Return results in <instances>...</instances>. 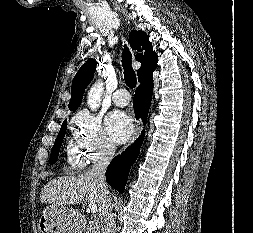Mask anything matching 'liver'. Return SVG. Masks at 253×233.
<instances>
[{"label":"liver","mask_w":253,"mask_h":233,"mask_svg":"<svg viewBox=\"0 0 253 233\" xmlns=\"http://www.w3.org/2000/svg\"><path fill=\"white\" fill-rule=\"evenodd\" d=\"M100 184L89 172L78 176H61L49 181L42 189L40 201L54 205L77 204L84 198L98 203Z\"/></svg>","instance_id":"1"}]
</instances>
